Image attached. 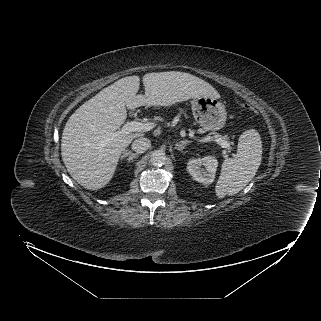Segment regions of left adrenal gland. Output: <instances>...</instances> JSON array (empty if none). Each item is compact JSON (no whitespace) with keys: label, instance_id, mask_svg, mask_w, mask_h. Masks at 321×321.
<instances>
[{"label":"left adrenal gland","instance_id":"1","mask_svg":"<svg viewBox=\"0 0 321 321\" xmlns=\"http://www.w3.org/2000/svg\"><path fill=\"white\" fill-rule=\"evenodd\" d=\"M191 143V141L184 140L175 144V148L179 151H183V149L187 146V144Z\"/></svg>","mask_w":321,"mask_h":321}]
</instances>
